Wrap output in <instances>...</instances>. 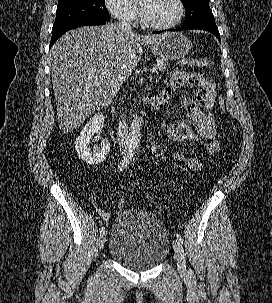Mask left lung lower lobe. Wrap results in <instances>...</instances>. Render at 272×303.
Masks as SVG:
<instances>
[{"label": "left lung lower lobe", "mask_w": 272, "mask_h": 303, "mask_svg": "<svg viewBox=\"0 0 272 303\" xmlns=\"http://www.w3.org/2000/svg\"><path fill=\"white\" fill-rule=\"evenodd\" d=\"M189 29H198V30H205V31H208V32H211L213 35L216 36V38L220 40V34H219V31H218V28L216 26L215 23H212V24H204V25H197V26H191V27H181V28H178V29H174V30H171V31H178V30H189ZM155 34H158L160 32H154Z\"/></svg>", "instance_id": "obj_1"}]
</instances>
